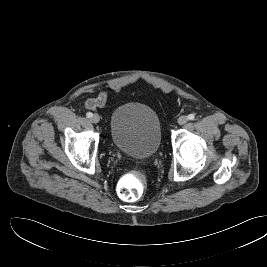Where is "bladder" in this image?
I'll use <instances>...</instances> for the list:
<instances>
[{"label":"bladder","instance_id":"1","mask_svg":"<svg viewBox=\"0 0 267 267\" xmlns=\"http://www.w3.org/2000/svg\"><path fill=\"white\" fill-rule=\"evenodd\" d=\"M113 145L138 159L154 156L161 145V123L156 112L140 102H126L112 113L109 129Z\"/></svg>","mask_w":267,"mask_h":267}]
</instances>
